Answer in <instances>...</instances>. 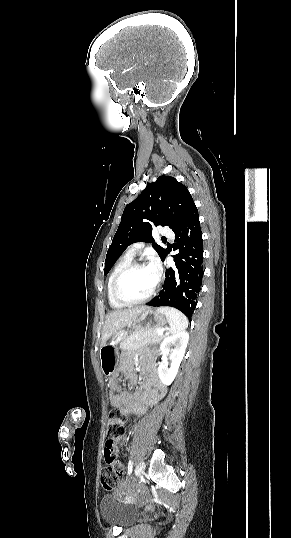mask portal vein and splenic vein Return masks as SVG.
<instances>
[{"mask_svg": "<svg viewBox=\"0 0 291 538\" xmlns=\"http://www.w3.org/2000/svg\"><path fill=\"white\" fill-rule=\"evenodd\" d=\"M157 332H158V334H160V335L163 334V331H162V330H158Z\"/></svg>", "mask_w": 291, "mask_h": 538, "instance_id": "18ae733b", "label": "portal vein and splenic vein"}]
</instances>
